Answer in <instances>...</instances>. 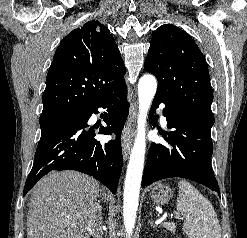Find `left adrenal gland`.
<instances>
[{
	"instance_id": "left-adrenal-gland-1",
	"label": "left adrenal gland",
	"mask_w": 247,
	"mask_h": 238,
	"mask_svg": "<svg viewBox=\"0 0 247 238\" xmlns=\"http://www.w3.org/2000/svg\"><path fill=\"white\" fill-rule=\"evenodd\" d=\"M152 218H153V215L152 213H150V219L148 221V225H150L151 227L157 228V226L153 223Z\"/></svg>"
}]
</instances>
